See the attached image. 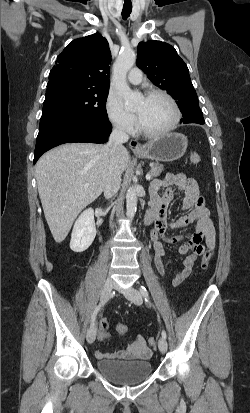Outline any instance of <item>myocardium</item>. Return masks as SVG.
Masks as SVG:
<instances>
[{
    "label": "myocardium",
    "mask_w": 250,
    "mask_h": 413,
    "mask_svg": "<svg viewBox=\"0 0 250 413\" xmlns=\"http://www.w3.org/2000/svg\"><path fill=\"white\" fill-rule=\"evenodd\" d=\"M154 96H161L163 98H165L173 107L174 110V119L172 121V123L165 129L161 130V131H149L146 128H144V126L141 124L139 118H137V124H138V130L141 134H143L146 137L149 138H159V137H163L169 133H171L173 130H175V128L177 127V125L179 124L180 120H181V110L180 107L178 105V103L176 102V100L166 91L160 90V89H152L146 92L145 94V98H150V97H154Z\"/></svg>",
    "instance_id": "myocardium-1"
}]
</instances>
